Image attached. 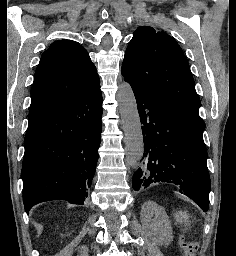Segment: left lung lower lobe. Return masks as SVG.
<instances>
[{
  "instance_id": "0a47b994",
  "label": "left lung lower lobe",
  "mask_w": 236,
  "mask_h": 256,
  "mask_svg": "<svg viewBox=\"0 0 236 256\" xmlns=\"http://www.w3.org/2000/svg\"><path fill=\"white\" fill-rule=\"evenodd\" d=\"M143 124V167L133 176L132 187L177 185L202 210L209 209L210 177L203 141L205 123L198 112L131 85Z\"/></svg>"
}]
</instances>
